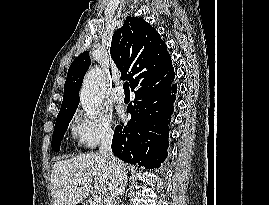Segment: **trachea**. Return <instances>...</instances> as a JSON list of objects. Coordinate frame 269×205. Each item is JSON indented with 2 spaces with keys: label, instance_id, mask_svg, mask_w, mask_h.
I'll return each mask as SVG.
<instances>
[{
  "label": "trachea",
  "instance_id": "3493384b",
  "mask_svg": "<svg viewBox=\"0 0 269 205\" xmlns=\"http://www.w3.org/2000/svg\"><path fill=\"white\" fill-rule=\"evenodd\" d=\"M123 88H124L125 93H130L129 83L128 82L124 83Z\"/></svg>",
  "mask_w": 269,
  "mask_h": 205
}]
</instances>
